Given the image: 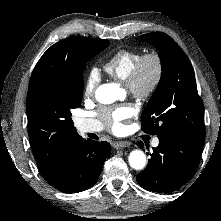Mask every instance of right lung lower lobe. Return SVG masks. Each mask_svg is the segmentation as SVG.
Segmentation results:
<instances>
[{
    "label": "right lung lower lobe",
    "instance_id": "obj_1",
    "mask_svg": "<svg viewBox=\"0 0 221 221\" xmlns=\"http://www.w3.org/2000/svg\"><path fill=\"white\" fill-rule=\"evenodd\" d=\"M109 153V143L81 138L64 150L54 171L44 178L64 193L86 190L96 183Z\"/></svg>",
    "mask_w": 221,
    "mask_h": 221
}]
</instances>
